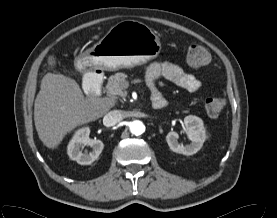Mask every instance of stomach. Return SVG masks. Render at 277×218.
I'll list each match as a JSON object with an SVG mask.
<instances>
[{
    "label": "stomach",
    "instance_id": "stomach-1",
    "mask_svg": "<svg viewBox=\"0 0 277 218\" xmlns=\"http://www.w3.org/2000/svg\"><path fill=\"white\" fill-rule=\"evenodd\" d=\"M160 51L159 37L151 28L136 20H124L79 56L76 65L84 71H115L145 63Z\"/></svg>",
    "mask_w": 277,
    "mask_h": 218
}]
</instances>
